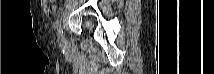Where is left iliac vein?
Masks as SVG:
<instances>
[{"mask_svg":"<svg viewBox=\"0 0 214 74\" xmlns=\"http://www.w3.org/2000/svg\"><path fill=\"white\" fill-rule=\"evenodd\" d=\"M60 31H61V33H60V39H61V41H64V37H63V34H62V29L60 28Z\"/></svg>","mask_w":214,"mask_h":74,"instance_id":"left-iliac-vein-1","label":"left iliac vein"}]
</instances>
